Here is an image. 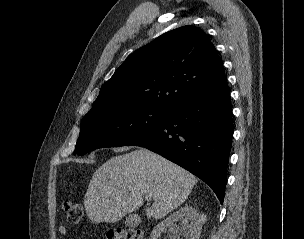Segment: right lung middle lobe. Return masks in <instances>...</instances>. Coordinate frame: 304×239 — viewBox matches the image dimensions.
<instances>
[{
    "label": "right lung middle lobe",
    "instance_id": "dd1d6c3e",
    "mask_svg": "<svg viewBox=\"0 0 304 239\" xmlns=\"http://www.w3.org/2000/svg\"><path fill=\"white\" fill-rule=\"evenodd\" d=\"M167 114L168 110L138 106L85 117L73 154L81 156L99 148L127 145L161 125Z\"/></svg>",
    "mask_w": 304,
    "mask_h": 239
}]
</instances>
